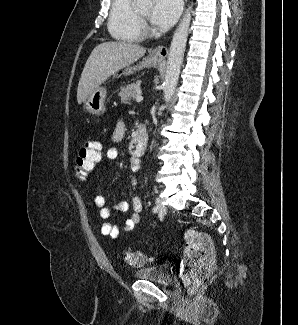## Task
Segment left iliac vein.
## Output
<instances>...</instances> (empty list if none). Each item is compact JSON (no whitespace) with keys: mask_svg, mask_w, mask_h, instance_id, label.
Instances as JSON below:
<instances>
[{"mask_svg":"<svg viewBox=\"0 0 298 325\" xmlns=\"http://www.w3.org/2000/svg\"><path fill=\"white\" fill-rule=\"evenodd\" d=\"M155 201H156V206L158 208V212L162 215L166 214V207L162 203L161 199L157 197Z\"/></svg>","mask_w":298,"mask_h":325,"instance_id":"left-iliac-vein-1","label":"left iliac vein"}]
</instances>
